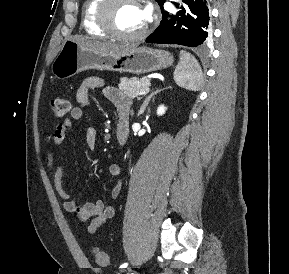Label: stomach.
Wrapping results in <instances>:
<instances>
[{"label": "stomach", "instance_id": "stomach-1", "mask_svg": "<svg viewBox=\"0 0 289 274\" xmlns=\"http://www.w3.org/2000/svg\"><path fill=\"white\" fill-rule=\"evenodd\" d=\"M168 51L137 47L120 54L91 50L74 40L65 41L52 63L51 72L57 79H67L89 69L144 74L171 66Z\"/></svg>", "mask_w": 289, "mask_h": 274}]
</instances>
